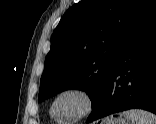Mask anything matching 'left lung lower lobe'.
<instances>
[{"label": "left lung lower lobe", "instance_id": "0a47b994", "mask_svg": "<svg viewBox=\"0 0 156 124\" xmlns=\"http://www.w3.org/2000/svg\"><path fill=\"white\" fill-rule=\"evenodd\" d=\"M133 108L156 114V9L126 45L87 123Z\"/></svg>", "mask_w": 156, "mask_h": 124}]
</instances>
